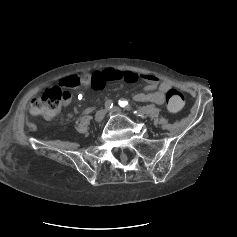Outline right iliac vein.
I'll use <instances>...</instances> for the list:
<instances>
[{
	"mask_svg": "<svg viewBox=\"0 0 237 237\" xmlns=\"http://www.w3.org/2000/svg\"><path fill=\"white\" fill-rule=\"evenodd\" d=\"M105 112L103 110H98L95 114V121L100 123L104 118Z\"/></svg>",
	"mask_w": 237,
	"mask_h": 237,
	"instance_id": "obj_1",
	"label": "right iliac vein"
}]
</instances>
